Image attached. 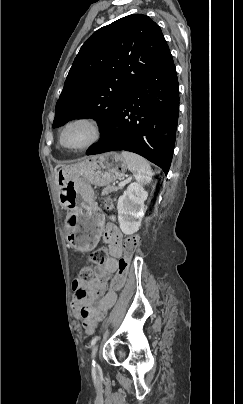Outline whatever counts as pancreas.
Here are the masks:
<instances>
[{
  "label": "pancreas",
  "instance_id": "1",
  "mask_svg": "<svg viewBox=\"0 0 243 404\" xmlns=\"http://www.w3.org/2000/svg\"><path fill=\"white\" fill-rule=\"evenodd\" d=\"M118 190H122V188H116V186H106L104 190H102V196H107L110 192H118Z\"/></svg>",
  "mask_w": 243,
  "mask_h": 404
}]
</instances>
